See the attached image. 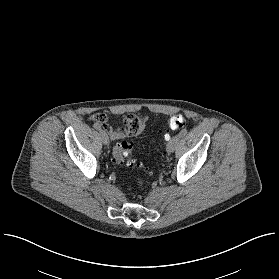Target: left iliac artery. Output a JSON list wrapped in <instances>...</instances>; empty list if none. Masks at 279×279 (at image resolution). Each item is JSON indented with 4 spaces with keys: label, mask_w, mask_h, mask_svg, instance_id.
<instances>
[{
    "label": "left iliac artery",
    "mask_w": 279,
    "mask_h": 279,
    "mask_svg": "<svg viewBox=\"0 0 279 279\" xmlns=\"http://www.w3.org/2000/svg\"><path fill=\"white\" fill-rule=\"evenodd\" d=\"M187 134V130L186 129H183V130H181V132L179 133V137H183V136H185ZM165 139L166 140H169L170 139V136L169 135H166L165 136Z\"/></svg>",
    "instance_id": "left-iliac-artery-1"
}]
</instances>
